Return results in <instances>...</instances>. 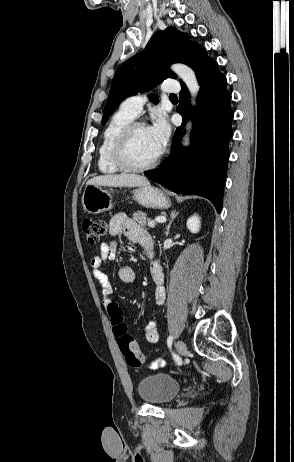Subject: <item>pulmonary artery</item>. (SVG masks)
<instances>
[{
	"instance_id": "pulmonary-artery-1",
	"label": "pulmonary artery",
	"mask_w": 294,
	"mask_h": 462,
	"mask_svg": "<svg viewBox=\"0 0 294 462\" xmlns=\"http://www.w3.org/2000/svg\"><path fill=\"white\" fill-rule=\"evenodd\" d=\"M161 89L164 93L174 94L178 91L179 86L177 84L172 83V80L169 79L162 84ZM147 100L148 98L146 93H139L125 99L121 106L126 111L136 116L142 111L143 106L147 102Z\"/></svg>"
}]
</instances>
